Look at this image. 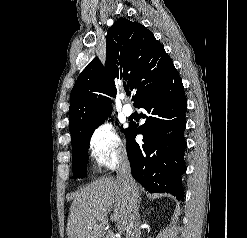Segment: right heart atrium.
<instances>
[{
  "label": "right heart atrium",
  "mask_w": 247,
  "mask_h": 238,
  "mask_svg": "<svg viewBox=\"0 0 247 238\" xmlns=\"http://www.w3.org/2000/svg\"><path fill=\"white\" fill-rule=\"evenodd\" d=\"M88 148L92 160L102 171L113 170L126 158L125 145L109 123H101L92 131Z\"/></svg>",
  "instance_id": "right-heart-atrium-1"
}]
</instances>
